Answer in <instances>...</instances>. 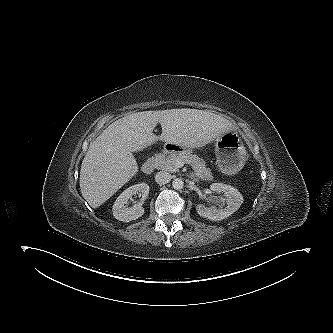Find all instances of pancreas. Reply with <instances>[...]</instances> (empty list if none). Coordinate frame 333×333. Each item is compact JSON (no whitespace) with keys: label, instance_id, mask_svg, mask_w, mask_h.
Wrapping results in <instances>:
<instances>
[{"label":"pancreas","instance_id":"obj_1","mask_svg":"<svg viewBox=\"0 0 333 333\" xmlns=\"http://www.w3.org/2000/svg\"><path fill=\"white\" fill-rule=\"evenodd\" d=\"M177 161L190 164L197 178L207 181L213 180L211 170L206 168L205 162L196 155L179 154L169 156L162 161L161 168L163 170L176 171L178 168L176 164Z\"/></svg>","mask_w":333,"mask_h":333}]
</instances>
